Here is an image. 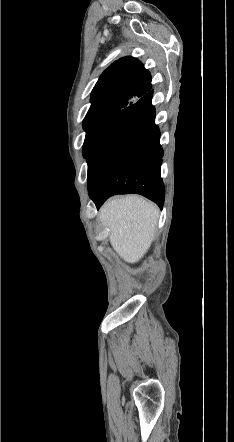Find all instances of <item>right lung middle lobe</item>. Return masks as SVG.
<instances>
[{"label":"right lung middle lobe","instance_id":"right-lung-middle-lobe-1","mask_svg":"<svg viewBox=\"0 0 234 442\" xmlns=\"http://www.w3.org/2000/svg\"><path fill=\"white\" fill-rule=\"evenodd\" d=\"M116 115L117 113H106L84 119L83 128L86 131V137L83 144V156L85 158L89 156Z\"/></svg>","mask_w":234,"mask_h":442}]
</instances>
